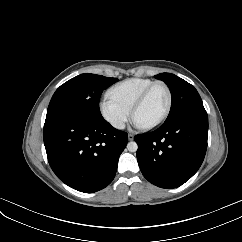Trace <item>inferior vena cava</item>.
Listing matches in <instances>:
<instances>
[{"label":"inferior vena cava","mask_w":242,"mask_h":242,"mask_svg":"<svg viewBox=\"0 0 242 242\" xmlns=\"http://www.w3.org/2000/svg\"><path fill=\"white\" fill-rule=\"evenodd\" d=\"M115 127L118 128V129H124L125 125H124L123 122H119V123H117V124L115 125Z\"/></svg>","instance_id":"602c4592"}]
</instances>
